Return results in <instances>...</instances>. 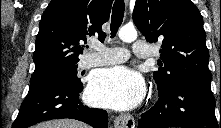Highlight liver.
Returning a JSON list of instances; mask_svg holds the SVG:
<instances>
[{
    "label": "liver",
    "instance_id": "6515ba94",
    "mask_svg": "<svg viewBox=\"0 0 221 128\" xmlns=\"http://www.w3.org/2000/svg\"><path fill=\"white\" fill-rule=\"evenodd\" d=\"M34 128H89L88 125L73 119H57L40 123Z\"/></svg>",
    "mask_w": 221,
    "mask_h": 128
}]
</instances>
